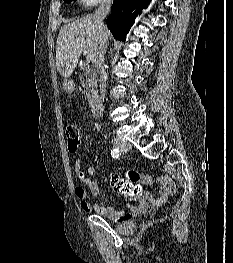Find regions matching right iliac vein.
I'll list each match as a JSON object with an SVG mask.
<instances>
[{
    "label": "right iliac vein",
    "mask_w": 233,
    "mask_h": 263,
    "mask_svg": "<svg viewBox=\"0 0 233 263\" xmlns=\"http://www.w3.org/2000/svg\"><path fill=\"white\" fill-rule=\"evenodd\" d=\"M112 144L119 150L127 152L132 149V146L129 142L120 140V139H112Z\"/></svg>",
    "instance_id": "1"
}]
</instances>
